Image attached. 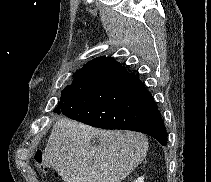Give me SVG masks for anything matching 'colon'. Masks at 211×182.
<instances>
[{
	"label": "colon",
	"instance_id": "colon-1",
	"mask_svg": "<svg viewBox=\"0 0 211 182\" xmlns=\"http://www.w3.org/2000/svg\"><path fill=\"white\" fill-rule=\"evenodd\" d=\"M34 160L38 166V168L44 173L47 174V167L44 163V157H43V153L41 150L37 149L34 151L33 154Z\"/></svg>",
	"mask_w": 211,
	"mask_h": 182
}]
</instances>
